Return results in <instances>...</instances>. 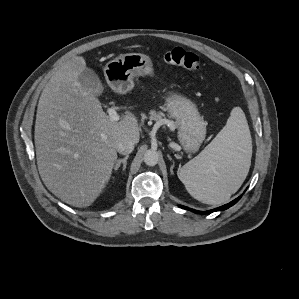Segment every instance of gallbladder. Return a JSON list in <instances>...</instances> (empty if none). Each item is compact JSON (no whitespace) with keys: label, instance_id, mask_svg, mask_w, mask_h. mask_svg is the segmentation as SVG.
<instances>
[{"label":"gallbladder","instance_id":"bac80fb5","mask_svg":"<svg viewBox=\"0 0 299 299\" xmlns=\"http://www.w3.org/2000/svg\"><path fill=\"white\" fill-rule=\"evenodd\" d=\"M78 80L86 90L103 88L98 75L90 68H86L79 75Z\"/></svg>","mask_w":299,"mask_h":299}]
</instances>
